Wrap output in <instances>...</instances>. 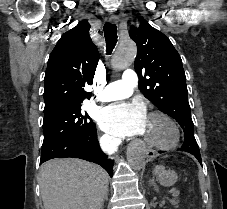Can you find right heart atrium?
Returning a JSON list of instances; mask_svg holds the SVG:
<instances>
[{
  "instance_id": "obj_1",
  "label": "right heart atrium",
  "mask_w": 227,
  "mask_h": 209,
  "mask_svg": "<svg viewBox=\"0 0 227 209\" xmlns=\"http://www.w3.org/2000/svg\"><path fill=\"white\" fill-rule=\"evenodd\" d=\"M100 143L103 150L112 152L118 148L120 139L116 136L105 134L101 136Z\"/></svg>"
}]
</instances>
